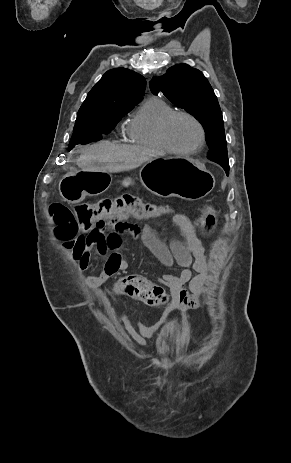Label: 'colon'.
Listing matches in <instances>:
<instances>
[{
  "label": "colon",
  "mask_w": 291,
  "mask_h": 463,
  "mask_svg": "<svg viewBox=\"0 0 291 463\" xmlns=\"http://www.w3.org/2000/svg\"><path fill=\"white\" fill-rule=\"evenodd\" d=\"M177 210L178 205L174 201L147 204L132 196H122L116 199L104 198L95 203H78L73 207L53 203L49 207V215L55 223V236L63 241L64 247L70 249L80 233L105 228L111 217H131L134 214L146 219L159 218L160 225L173 217L181 224L188 222V211ZM215 219V213L206 207L201 226L205 231H211L215 227ZM116 291L151 307H163L167 304L164 290L142 276L120 278Z\"/></svg>",
  "instance_id": "5ec220e1"
}]
</instances>
